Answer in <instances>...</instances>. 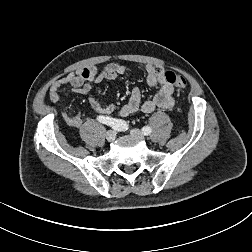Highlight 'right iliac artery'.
<instances>
[{
    "instance_id": "82829eb1",
    "label": "right iliac artery",
    "mask_w": 252,
    "mask_h": 252,
    "mask_svg": "<svg viewBox=\"0 0 252 252\" xmlns=\"http://www.w3.org/2000/svg\"><path fill=\"white\" fill-rule=\"evenodd\" d=\"M97 120L100 123L109 125L111 127L119 125V126L123 127L124 131L129 129V125L125 121H122V120L114 119V118H111V117H103V116H98Z\"/></svg>"
}]
</instances>
